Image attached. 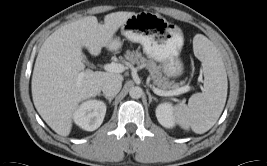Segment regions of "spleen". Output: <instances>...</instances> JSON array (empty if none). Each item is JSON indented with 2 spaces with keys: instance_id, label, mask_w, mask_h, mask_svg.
Returning a JSON list of instances; mask_svg holds the SVG:
<instances>
[{
  "instance_id": "1",
  "label": "spleen",
  "mask_w": 267,
  "mask_h": 166,
  "mask_svg": "<svg viewBox=\"0 0 267 166\" xmlns=\"http://www.w3.org/2000/svg\"><path fill=\"white\" fill-rule=\"evenodd\" d=\"M194 54L203 64L204 90L189 99L188 105L177 104L173 111L176 122L185 130L203 134L220 117L227 98V75L222 57L213 43L203 35L193 40Z\"/></svg>"
}]
</instances>
